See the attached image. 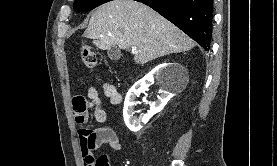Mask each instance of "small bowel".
<instances>
[{
	"instance_id": "1",
	"label": "small bowel",
	"mask_w": 277,
	"mask_h": 166,
	"mask_svg": "<svg viewBox=\"0 0 277 166\" xmlns=\"http://www.w3.org/2000/svg\"><path fill=\"white\" fill-rule=\"evenodd\" d=\"M103 93L113 104L121 102V95L117 89L108 83L103 85ZM72 107L75 121L78 124H85L88 120V109H93V115L97 122L103 124L107 115L103 108L102 100L98 91L91 87L88 89L87 96L77 95L72 99ZM79 144L84 161V166H96V161H101L100 166H109L111 157L103 154L97 159L93 157V152L101 145L108 144L112 150L122 149V143L117 133L109 126L103 125L95 130L82 128L79 130Z\"/></svg>"
}]
</instances>
